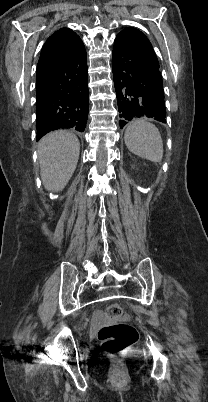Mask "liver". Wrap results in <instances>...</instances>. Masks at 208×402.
Listing matches in <instances>:
<instances>
[{
    "label": "liver",
    "mask_w": 208,
    "mask_h": 402,
    "mask_svg": "<svg viewBox=\"0 0 208 402\" xmlns=\"http://www.w3.org/2000/svg\"><path fill=\"white\" fill-rule=\"evenodd\" d=\"M80 144L77 136L59 130L44 136L38 144L41 178L45 190L61 192L75 172Z\"/></svg>",
    "instance_id": "obj_1"
}]
</instances>
